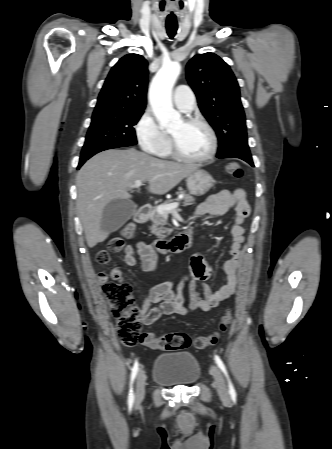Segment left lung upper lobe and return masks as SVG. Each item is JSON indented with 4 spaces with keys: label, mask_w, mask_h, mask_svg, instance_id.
I'll return each mask as SVG.
<instances>
[{
    "label": "left lung upper lobe",
    "mask_w": 332,
    "mask_h": 449,
    "mask_svg": "<svg viewBox=\"0 0 332 449\" xmlns=\"http://www.w3.org/2000/svg\"><path fill=\"white\" fill-rule=\"evenodd\" d=\"M186 72L199 108L217 134V156L251 157L239 85L229 65L214 53L198 54Z\"/></svg>",
    "instance_id": "obj_1"
}]
</instances>
